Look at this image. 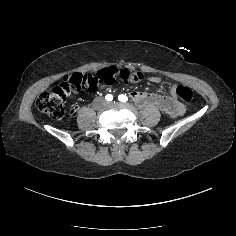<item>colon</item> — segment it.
<instances>
[{
	"instance_id": "obj_1",
	"label": "colon",
	"mask_w": 236,
	"mask_h": 236,
	"mask_svg": "<svg viewBox=\"0 0 236 236\" xmlns=\"http://www.w3.org/2000/svg\"><path fill=\"white\" fill-rule=\"evenodd\" d=\"M142 78L140 72L114 66L103 68L96 73H74L66 76L51 91L40 94L36 102L37 108L53 119H61L65 115V104L71 94L81 90L96 92L118 80L124 83H137ZM175 92L184 102H189L193 98V91L187 86H177Z\"/></svg>"
}]
</instances>
